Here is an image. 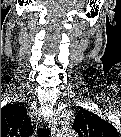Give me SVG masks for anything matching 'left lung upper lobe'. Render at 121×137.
I'll list each match as a JSON object with an SVG mask.
<instances>
[{
  "instance_id": "obj_1",
  "label": "left lung upper lobe",
  "mask_w": 121,
  "mask_h": 137,
  "mask_svg": "<svg viewBox=\"0 0 121 137\" xmlns=\"http://www.w3.org/2000/svg\"><path fill=\"white\" fill-rule=\"evenodd\" d=\"M76 114L72 127L80 136L117 137L119 135L112 124L88 110L80 109Z\"/></svg>"
}]
</instances>
